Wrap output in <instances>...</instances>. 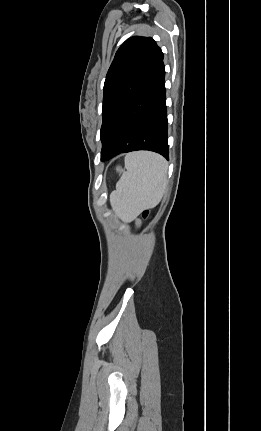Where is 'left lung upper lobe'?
Here are the masks:
<instances>
[{"instance_id":"1","label":"left lung upper lobe","mask_w":261,"mask_h":431,"mask_svg":"<svg viewBox=\"0 0 261 431\" xmlns=\"http://www.w3.org/2000/svg\"><path fill=\"white\" fill-rule=\"evenodd\" d=\"M162 60L163 53L151 37H131L118 49L104 83L102 161L114 145L131 101Z\"/></svg>"}]
</instances>
